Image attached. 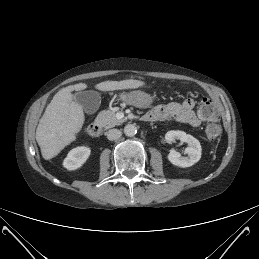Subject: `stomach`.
I'll return each mask as SVG.
<instances>
[{
	"label": "stomach",
	"mask_w": 259,
	"mask_h": 259,
	"mask_svg": "<svg viewBox=\"0 0 259 259\" xmlns=\"http://www.w3.org/2000/svg\"><path fill=\"white\" fill-rule=\"evenodd\" d=\"M119 100L140 108L149 107L152 103V97L140 90L122 93Z\"/></svg>",
	"instance_id": "stomach-1"
}]
</instances>
